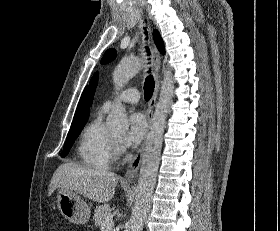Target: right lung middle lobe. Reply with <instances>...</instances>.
I'll list each match as a JSON object with an SVG mask.
<instances>
[{"label":"right lung middle lobe","instance_id":"1","mask_svg":"<svg viewBox=\"0 0 280 231\" xmlns=\"http://www.w3.org/2000/svg\"><path fill=\"white\" fill-rule=\"evenodd\" d=\"M84 126L85 125L75 127V128H70V131L67 135L66 142L64 144L63 152L60 154L61 157H66L68 155L75 139L79 136Z\"/></svg>","mask_w":280,"mask_h":231}]
</instances>
